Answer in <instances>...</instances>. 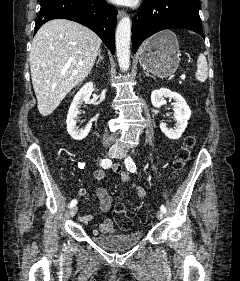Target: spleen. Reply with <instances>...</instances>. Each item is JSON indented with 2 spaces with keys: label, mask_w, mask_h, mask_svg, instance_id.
I'll return each instance as SVG.
<instances>
[{
  "label": "spleen",
  "mask_w": 240,
  "mask_h": 281,
  "mask_svg": "<svg viewBox=\"0 0 240 281\" xmlns=\"http://www.w3.org/2000/svg\"><path fill=\"white\" fill-rule=\"evenodd\" d=\"M208 76V65L204 54H200L197 59V71L195 77L200 82H205Z\"/></svg>",
  "instance_id": "1"
}]
</instances>
